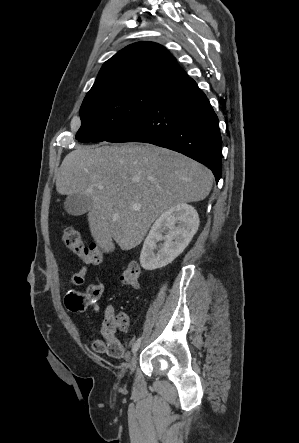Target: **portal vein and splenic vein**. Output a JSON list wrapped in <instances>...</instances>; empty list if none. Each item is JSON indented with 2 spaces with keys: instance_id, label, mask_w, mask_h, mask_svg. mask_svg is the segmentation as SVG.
<instances>
[{
  "instance_id": "1",
  "label": "portal vein and splenic vein",
  "mask_w": 299,
  "mask_h": 443,
  "mask_svg": "<svg viewBox=\"0 0 299 443\" xmlns=\"http://www.w3.org/2000/svg\"><path fill=\"white\" fill-rule=\"evenodd\" d=\"M99 188L101 189V188H103V187L100 186ZM133 207L138 209V208H141V205H140V204H134Z\"/></svg>"
}]
</instances>
